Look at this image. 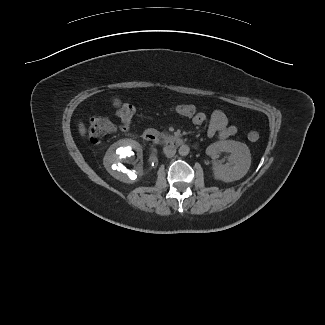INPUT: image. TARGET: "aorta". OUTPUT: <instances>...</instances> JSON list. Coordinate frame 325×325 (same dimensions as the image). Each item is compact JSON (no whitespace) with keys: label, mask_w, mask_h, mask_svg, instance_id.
<instances>
[{"label":"aorta","mask_w":325,"mask_h":325,"mask_svg":"<svg viewBox=\"0 0 325 325\" xmlns=\"http://www.w3.org/2000/svg\"><path fill=\"white\" fill-rule=\"evenodd\" d=\"M190 148L187 145L180 146L178 152L181 156H186L189 154Z\"/></svg>","instance_id":"aorta-1"}]
</instances>
